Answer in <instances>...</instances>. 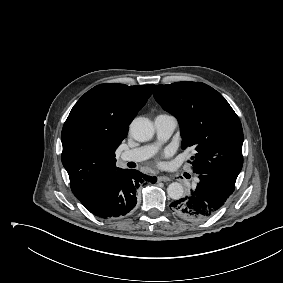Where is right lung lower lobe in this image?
Here are the masks:
<instances>
[{
	"label": "right lung lower lobe",
	"instance_id": "98d812e1",
	"mask_svg": "<svg viewBox=\"0 0 283 283\" xmlns=\"http://www.w3.org/2000/svg\"><path fill=\"white\" fill-rule=\"evenodd\" d=\"M155 183L137 170L121 169L92 193L79 199L91 213L101 218H116L129 213L136 205V189L140 183Z\"/></svg>",
	"mask_w": 283,
	"mask_h": 283
}]
</instances>
